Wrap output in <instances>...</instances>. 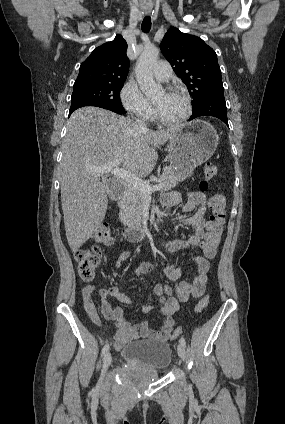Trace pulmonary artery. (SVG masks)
<instances>
[{
    "label": "pulmonary artery",
    "instance_id": "obj_1",
    "mask_svg": "<svg viewBox=\"0 0 285 424\" xmlns=\"http://www.w3.org/2000/svg\"><path fill=\"white\" fill-rule=\"evenodd\" d=\"M153 75L157 80L167 81L172 76V69L167 61H159L153 67Z\"/></svg>",
    "mask_w": 285,
    "mask_h": 424
}]
</instances>
